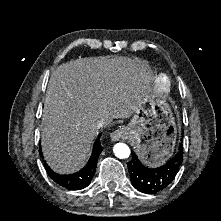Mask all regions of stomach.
Returning a JSON list of instances; mask_svg holds the SVG:
<instances>
[{
	"label": "stomach",
	"mask_w": 221,
	"mask_h": 221,
	"mask_svg": "<svg viewBox=\"0 0 221 221\" xmlns=\"http://www.w3.org/2000/svg\"><path fill=\"white\" fill-rule=\"evenodd\" d=\"M126 132L137 154L147 165H159L173 153L176 123L171 107L165 102L142 97Z\"/></svg>",
	"instance_id": "0dacf381"
}]
</instances>
